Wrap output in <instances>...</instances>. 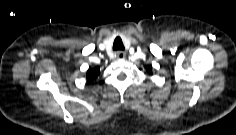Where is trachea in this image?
<instances>
[{
	"label": "trachea",
	"mask_w": 236,
	"mask_h": 135,
	"mask_svg": "<svg viewBox=\"0 0 236 135\" xmlns=\"http://www.w3.org/2000/svg\"><path fill=\"white\" fill-rule=\"evenodd\" d=\"M113 50H115V51L124 50V45H123L122 39L119 36L116 37L114 40Z\"/></svg>",
	"instance_id": "trachea-1"
}]
</instances>
